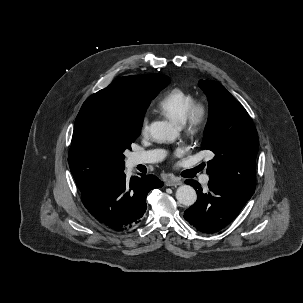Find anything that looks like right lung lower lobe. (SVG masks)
I'll list each match as a JSON object with an SVG mask.
<instances>
[{
    "mask_svg": "<svg viewBox=\"0 0 303 303\" xmlns=\"http://www.w3.org/2000/svg\"><path fill=\"white\" fill-rule=\"evenodd\" d=\"M163 186L154 175L126 181L123 170L98 176L80 189L84 206L102 224L115 231L135 227L146 211L151 189Z\"/></svg>",
    "mask_w": 303,
    "mask_h": 303,
    "instance_id": "1",
    "label": "right lung lower lobe"
}]
</instances>
